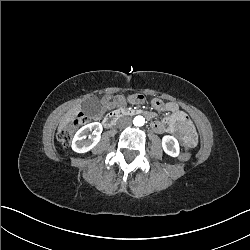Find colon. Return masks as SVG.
I'll list each match as a JSON object with an SVG mask.
<instances>
[{"mask_svg": "<svg viewBox=\"0 0 250 250\" xmlns=\"http://www.w3.org/2000/svg\"><path fill=\"white\" fill-rule=\"evenodd\" d=\"M145 97L142 94H135L133 96V100L137 103H142ZM151 105H164V100H151ZM97 111V107L95 105H91L88 108L87 112H80L75 116V119L72 121H68L65 126H62L56 132V139L61 143V149L63 151H70L72 149L71 138L76 134V131L79 127L87 125L93 122L94 114ZM188 147H192L196 144V139L194 136H191L185 143ZM178 159L183 162L189 161V153L184 152L178 155Z\"/></svg>", "mask_w": 250, "mask_h": 250, "instance_id": "1", "label": "colon"}]
</instances>
